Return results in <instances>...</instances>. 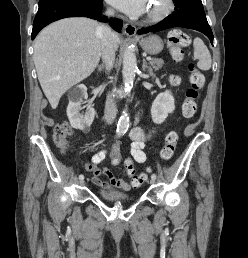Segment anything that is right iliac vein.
I'll return each instance as SVG.
<instances>
[{
	"instance_id": "1",
	"label": "right iliac vein",
	"mask_w": 248,
	"mask_h": 258,
	"mask_svg": "<svg viewBox=\"0 0 248 258\" xmlns=\"http://www.w3.org/2000/svg\"><path fill=\"white\" fill-rule=\"evenodd\" d=\"M80 184H81V185H84V184H85V181H84V180H81Z\"/></svg>"
}]
</instances>
